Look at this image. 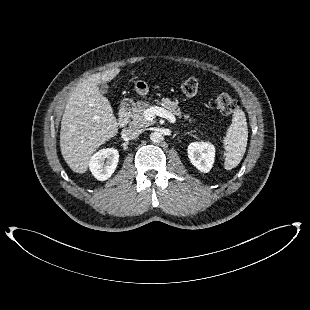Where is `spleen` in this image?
I'll use <instances>...</instances> for the list:
<instances>
[{
    "label": "spleen",
    "instance_id": "obj_1",
    "mask_svg": "<svg viewBox=\"0 0 310 310\" xmlns=\"http://www.w3.org/2000/svg\"><path fill=\"white\" fill-rule=\"evenodd\" d=\"M247 140L248 128L245 113L237 108L234 110L232 123L223 139L226 170H231L240 163L246 150Z\"/></svg>",
    "mask_w": 310,
    "mask_h": 310
}]
</instances>
